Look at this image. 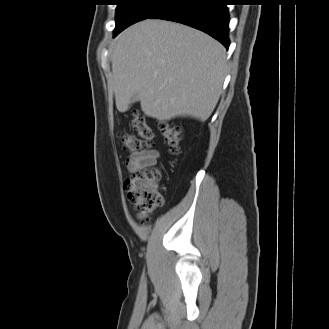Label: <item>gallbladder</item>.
I'll return each instance as SVG.
<instances>
[{
    "instance_id": "1",
    "label": "gallbladder",
    "mask_w": 329,
    "mask_h": 329,
    "mask_svg": "<svg viewBox=\"0 0 329 329\" xmlns=\"http://www.w3.org/2000/svg\"><path fill=\"white\" fill-rule=\"evenodd\" d=\"M131 101L132 102L138 101V95L137 94H134L133 97L131 98Z\"/></svg>"
}]
</instances>
